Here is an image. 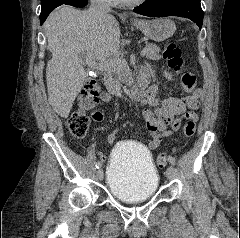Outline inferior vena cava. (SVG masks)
I'll return each mask as SVG.
<instances>
[{"mask_svg": "<svg viewBox=\"0 0 240 238\" xmlns=\"http://www.w3.org/2000/svg\"><path fill=\"white\" fill-rule=\"evenodd\" d=\"M111 11L107 0H91L89 13L96 16H104Z\"/></svg>", "mask_w": 240, "mask_h": 238, "instance_id": "inferior-vena-cava-1", "label": "inferior vena cava"}]
</instances>
